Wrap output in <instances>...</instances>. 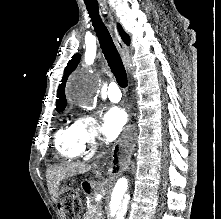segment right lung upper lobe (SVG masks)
<instances>
[{
  "instance_id": "1",
  "label": "right lung upper lobe",
  "mask_w": 221,
  "mask_h": 219,
  "mask_svg": "<svg viewBox=\"0 0 221 219\" xmlns=\"http://www.w3.org/2000/svg\"><path fill=\"white\" fill-rule=\"evenodd\" d=\"M118 31H119V34L123 40V42L126 44V45H129L130 44V37L129 35H127L122 27L118 24ZM79 60H80V55L79 54H75L72 59L68 62L66 68H65V71H64V76L61 80V84L59 85V88H58V93H57V100H56V110L58 112H62L66 105H67V101H66V97H65V93H64V90H65V84H66V81H67V78L68 76L76 69L78 63H79Z\"/></svg>"
}]
</instances>
